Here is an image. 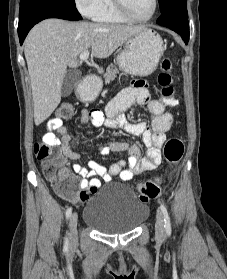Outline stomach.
I'll use <instances>...</instances> for the list:
<instances>
[{"label": "stomach", "instance_id": "obj_1", "mask_svg": "<svg viewBox=\"0 0 227 279\" xmlns=\"http://www.w3.org/2000/svg\"><path fill=\"white\" fill-rule=\"evenodd\" d=\"M164 50L160 35L151 29L142 28L124 43L117 56V64L125 73L147 76L157 68ZM101 88L99 81L89 80L79 88L78 94L83 101H94Z\"/></svg>", "mask_w": 227, "mask_h": 279}]
</instances>
